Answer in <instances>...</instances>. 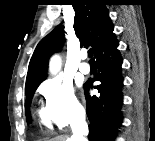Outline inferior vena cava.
Segmentation results:
<instances>
[{
	"instance_id": "inferior-vena-cava-1",
	"label": "inferior vena cava",
	"mask_w": 155,
	"mask_h": 141,
	"mask_svg": "<svg viewBox=\"0 0 155 141\" xmlns=\"http://www.w3.org/2000/svg\"><path fill=\"white\" fill-rule=\"evenodd\" d=\"M84 122V117H82L79 122L72 125L73 135L71 141H82L83 135L86 133V129L81 125Z\"/></svg>"
}]
</instances>
